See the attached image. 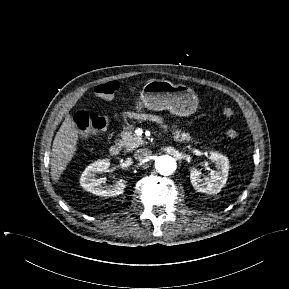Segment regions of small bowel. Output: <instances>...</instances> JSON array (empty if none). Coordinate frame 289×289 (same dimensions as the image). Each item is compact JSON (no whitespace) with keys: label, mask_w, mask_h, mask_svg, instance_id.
<instances>
[{"label":"small bowel","mask_w":289,"mask_h":289,"mask_svg":"<svg viewBox=\"0 0 289 289\" xmlns=\"http://www.w3.org/2000/svg\"><path fill=\"white\" fill-rule=\"evenodd\" d=\"M129 115H130V116H136V115L133 114V113H130ZM151 119H152L153 121H156V122H160V121H161V119H160L159 117H156V116H152Z\"/></svg>","instance_id":"c3829d8e"}]
</instances>
